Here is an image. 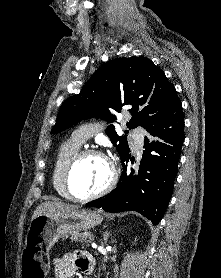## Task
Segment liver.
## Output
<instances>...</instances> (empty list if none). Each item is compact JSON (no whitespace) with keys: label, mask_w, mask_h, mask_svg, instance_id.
<instances>
[{"label":"liver","mask_w":221,"mask_h":278,"mask_svg":"<svg viewBox=\"0 0 221 278\" xmlns=\"http://www.w3.org/2000/svg\"><path fill=\"white\" fill-rule=\"evenodd\" d=\"M78 207L75 205H69L66 203L58 202V201H46L40 204L33 216L32 219L38 217L39 215L42 214H54V213H65L70 210L77 209Z\"/></svg>","instance_id":"6515ba94"}]
</instances>
